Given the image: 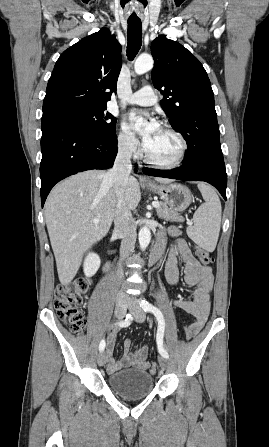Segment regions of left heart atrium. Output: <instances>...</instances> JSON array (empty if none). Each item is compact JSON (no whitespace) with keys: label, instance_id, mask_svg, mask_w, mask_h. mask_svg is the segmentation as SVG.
<instances>
[{"label":"left heart atrium","instance_id":"1","mask_svg":"<svg viewBox=\"0 0 269 447\" xmlns=\"http://www.w3.org/2000/svg\"><path fill=\"white\" fill-rule=\"evenodd\" d=\"M137 117H138V115L134 112H132L128 115L127 123H126V127L128 129L135 130ZM159 127H160L159 122L156 121L155 119H152L147 130L141 133L144 140H146Z\"/></svg>","mask_w":269,"mask_h":447}]
</instances>
